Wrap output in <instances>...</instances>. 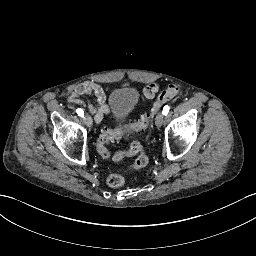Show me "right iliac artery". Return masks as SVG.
Returning <instances> with one entry per match:
<instances>
[{
    "label": "right iliac artery",
    "mask_w": 256,
    "mask_h": 256,
    "mask_svg": "<svg viewBox=\"0 0 256 256\" xmlns=\"http://www.w3.org/2000/svg\"><path fill=\"white\" fill-rule=\"evenodd\" d=\"M76 112H77V114H78L79 116H81V117L84 116V111H83L81 108H78V109L76 110Z\"/></svg>",
    "instance_id": "1"
}]
</instances>
